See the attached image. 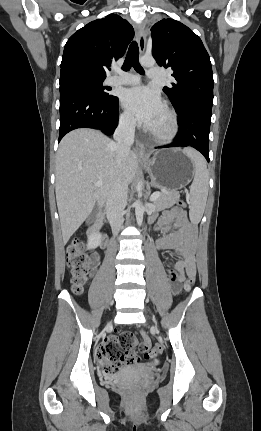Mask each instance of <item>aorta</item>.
Returning <instances> with one entry per match:
<instances>
[{
    "mask_svg": "<svg viewBox=\"0 0 261 431\" xmlns=\"http://www.w3.org/2000/svg\"><path fill=\"white\" fill-rule=\"evenodd\" d=\"M140 64L144 67H152L155 65V60L152 56H143L140 59ZM134 206H135L137 224L138 226H141L143 222L144 208L139 200H137L134 203Z\"/></svg>",
    "mask_w": 261,
    "mask_h": 431,
    "instance_id": "1",
    "label": "aorta"
}]
</instances>
